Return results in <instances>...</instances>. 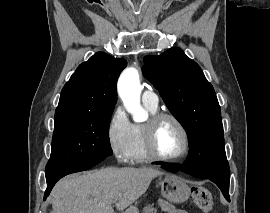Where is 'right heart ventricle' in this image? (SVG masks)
I'll return each instance as SVG.
<instances>
[{
	"instance_id": "obj_1",
	"label": "right heart ventricle",
	"mask_w": 270,
	"mask_h": 213,
	"mask_svg": "<svg viewBox=\"0 0 270 213\" xmlns=\"http://www.w3.org/2000/svg\"><path fill=\"white\" fill-rule=\"evenodd\" d=\"M145 108L151 113L154 114L157 112V107H151L144 103ZM143 140V125L133 124L132 125V141L129 151V161L131 163H145L150 161Z\"/></svg>"
}]
</instances>
